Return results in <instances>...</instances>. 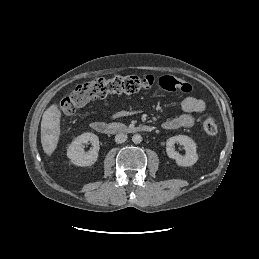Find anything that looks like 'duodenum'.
Wrapping results in <instances>:
<instances>
[{
  "mask_svg": "<svg viewBox=\"0 0 259 259\" xmlns=\"http://www.w3.org/2000/svg\"><path fill=\"white\" fill-rule=\"evenodd\" d=\"M91 127L101 134L144 133L152 131V127L149 125L124 126L119 124H108L101 121L93 122Z\"/></svg>",
  "mask_w": 259,
  "mask_h": 259,
  "instance_id": "410a0bca",
  "label": "duodenum"
}]
</instances>
